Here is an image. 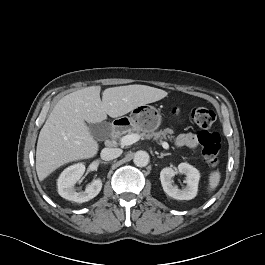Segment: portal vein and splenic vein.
Wrapping results in <instances>:
<instances>
[{
	"mask_svg": "<svg viewBox=\"0 0 265 265\" xmlns=\"http://www.w3.org/2000/svg\"><path fill=\"white\" fill-rule=\"evenodd\" d=\"M139 139H140V135H138V134H129V135L123 136L120 139V144L122 146H129V145H132L135 142H137ZM161 145H162V147L164 149H169V144L167 142L163 141V142H161Z\"/></svg>",
	"mask_w": 265,
	"mask_h": 265,
	"instance_id": "1",
	"label": "portal vein and splenic vein"
}]
</instances>
